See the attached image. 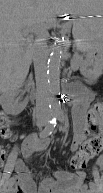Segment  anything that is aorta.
Returning <instances> with one entry per match:
<instances>
[{"label":"aorta","instance_id":"1","mask_svg":"<svg viewBox=\"0 0 103 193\" xmlns=\"http://www.w3.org/2000/svg\"><path fill=\"white\" fill-rule=\"evenodd\" d=\"M66 42V36L63 35L57 39V44L53 47L50 57L48 59L47 74L49 82V90L54 95L59 87V77H60V65L61 56L63 53V46ZM52 109L54 111L58 110V102L56 98H51Z\"/></svg>","mask_w":103,"mask_h":193}]
</instances>
